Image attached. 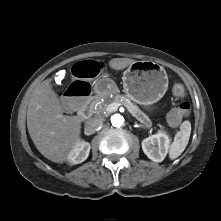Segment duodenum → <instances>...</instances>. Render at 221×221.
<instances>
[{
    "mask_svg": "<svg viewBox=\"0 0 221 221\" xmlns=\"http://www.w3.org/2000/svg\"><path fill=\"white\" fill-rule=\"evenodd\" d=\"M89 115V109H88V106L83 109V110H79L78 111V116L81 118V119H85L87 118Z\"/></svg>",
    "mask_w": 221,
    "mask_h": 221,
    "instance_id": "duodenum-1",
    "label": "duodenum"
}]
</instances>
